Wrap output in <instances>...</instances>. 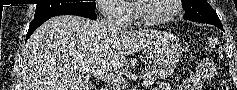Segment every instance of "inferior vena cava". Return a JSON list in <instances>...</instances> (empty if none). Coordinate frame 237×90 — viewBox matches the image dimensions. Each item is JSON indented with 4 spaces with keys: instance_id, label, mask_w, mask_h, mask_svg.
Here are the masks:
<instances>
[{
    "instance_id": "inferior-vena-cava-1",
    "label": "inferior vena cava",
    "mask_w": 237,
    "mask_h": 90,
    "mask_svg": "<svg viewBox=\"0 0 237 90\" xmlns=\"http://www.w3.org/2000/svg\"><path fill=\"white\" fill-rule=\"evenodd\" d=\"M101 12H104L105 16L101 20V24H104L106 32H119V24L115 20L113 14H115L114 8L112 6H103Z\"/></svg>"
}]
</instances>
